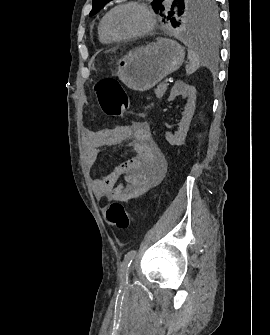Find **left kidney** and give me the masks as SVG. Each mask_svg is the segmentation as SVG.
Masks as SVG:
<instances>
[{
    "label": "left kidney",
    "mask_w": 270,
    "mask_h": 335,
    "mask_svg": "<svg viewBox=\"0 0 270 335\" xmlns=\"http://www.w3.org/2000/svg\"><path fill=\"white\" fill-rule=\"evenodd\" d=\"M180 94H182V96H188V100L182 114L183 118L180 120L178 132H175L174 136L171 132H166L165 134V138L171 146H182V144H184L195 110L196 90L194 86H187L182 80H177L170 92L168 102H171V100H174V98L180 96Z\"/></svg>",
    "instance_id": "obj_1"
}]
</instances>
